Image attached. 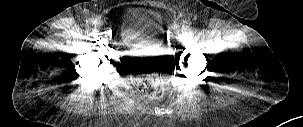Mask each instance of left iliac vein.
<instances>
[{
  "label": "left iliac vein",
  "instance_id": "4c4485c4",
  "mask_svg": "<svg viewBox=\"0 0 303 127\" xmlns=\"http://www.w3.org/2000/svg\"><path fill=\"white\" fill-rule=\"evenodd\" d=\"M182 32H184V33H190L191 29L188 26H183L182 27Z\"/></svg>",
  "mask_w": 303,
  "mask_h": 127
}]
</instances>
